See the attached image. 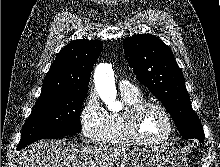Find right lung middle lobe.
I'll use <instances>...</instances> for the list:
<instances>
[{
  "mask_svg": "<svg viewBox=\"0 0 220 167\" xmlns=\"http://www.w3.org/2000/svg\"><path fill=\"white\" fill-rule=\"evenodd\" d=\"M87 89L66 90L36 101L26 120L17 150L44 138H60L80 131V111Z\"/></svg>",
  "mask_w": 220,
  "mask_h": 167,
  "instance_id": "dd1d6c3e",
  "label": "right lung middle lobe"
}]
</instances>
